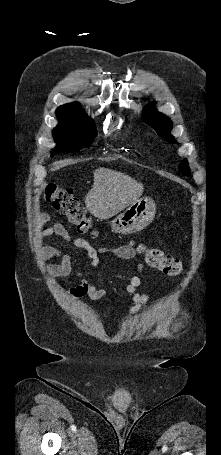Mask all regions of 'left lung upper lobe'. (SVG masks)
I'll list each match as a JSON object with an SVG mask.
<instances>
[{
	"mask_svg": "<svg viewBox=\"0 0 221 455\" xmlns=\"http://www.w3.org/2000/svg\"><path fill=\"white\" fill-rule=\"evenodd\" d=\"M142 119L152 127H154L157 133L166 139L170 143H175L173 136L169 133L171 129V122L168 117L154 109L153 104H149L143 111ZM179 170L184 175H190V170L188 167V162L184 160L179 165Z\"/></svg>",
	"mask_w": 221,
	"mask_h": 455,
	"instance_id": "left-lung-upper-lobe-1",
	"label": "left lung upper lobe"
}]
</instances>
